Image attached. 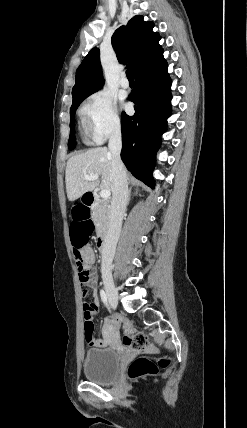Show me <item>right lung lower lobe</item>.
Here are the masks:
<instances>
[{
  "label": "right lung lower lobe",
  "mask_w": 247,
  "mask_h": 428,
  "mask_svg": "<svg viewBox=\"0 0 247 428\" xmlns=\"http://www.w3.org/2000/svg\"><path fill=\"white\" fill-rule=\"evenodd\" d=\"M167 67L162 56L134 74L136 86L129 100L135 104V114L128 116L123 112L121 117V159L137 179L151 188L155 186L152 172L156 152L171 115V80Z\"/></svg>",
  "instance_id": "1"
}]
</instances>
